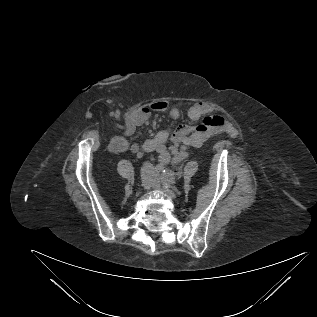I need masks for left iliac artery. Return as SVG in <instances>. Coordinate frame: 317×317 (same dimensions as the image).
Wrapping results in <instances>:
<instances>
[{"label": "left iliac artery", "mask_w": 317, "mask_h": 317, "mask_svg": "<svg viewBox=\"0 0 317 317\" xmlns=\"http://www.w3.org/2000/svg\"><path fill=\"white\" fill-rule=\"evenodd\" d=\"M162 172H163V173H162V176H163L162 178H165V179L168 178V176H169V171H168V170H163ZM166 180H167V179H166Z\"/></svg>", "instance_id": "44dca946"}]
</instances>
